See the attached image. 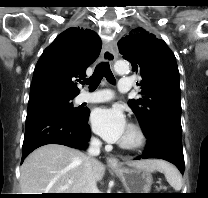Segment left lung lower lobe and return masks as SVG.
<instances>
[{"label":"left lung lower lobe","instance_id":"obj_1","mask_svg":"<svg viewBox=\"0 0 208 198\" xmlns=\"http://www.w3.org/2000/svg\"><path fill=\"white\" fill-rule=\"evenodd\" d=\"M148 144L143 156L136 159L159 158L173 163L184 173V156L182 148V133L170 126L158 127L146 136Z\"/></svg>","mask_w":208,"mask_h":198}]
</instances>
